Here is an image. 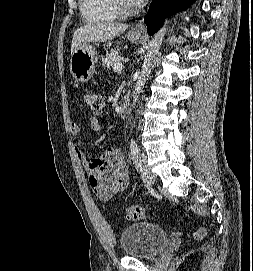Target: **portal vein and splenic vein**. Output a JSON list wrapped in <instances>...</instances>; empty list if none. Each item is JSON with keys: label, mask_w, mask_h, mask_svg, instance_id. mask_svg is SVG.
Here are the masks:
<instances>
[{"label": "portal vein and splenic vein", "mask_w": 253, "mask_h": 271, "mask_svg": "<svg viewBox=\"0 0 253 271\" xmlns=\"http://www.w3.org/2000/svg\"><path fill=\"white\" fill-rule=\"evenodd\" d=\"M123 68H124V65H122V64H117V65H115V67H114V71H121V70H123Z\"/></svg>", "instance_id": "1"}]
</instances>
